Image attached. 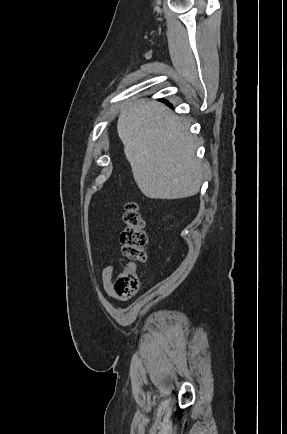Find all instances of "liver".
<instances>
[{
	"label": "liver",
	"instance_id": "obj_1",
	"mask_svg": "<svg viewBox=\"0 0 287 434\" xmlns=\"http://www.w3.org/2000/svg\"><path fill=\"white\" fill-rule=\"evenodd\" d=\"M188 124L157 101L131 102L121 110L117 131L134 180L152 199H180L200 190L203 169Z\"/></svg>",
	"mask_w": 287,
	"mask_h": 434
}]
</instances>
